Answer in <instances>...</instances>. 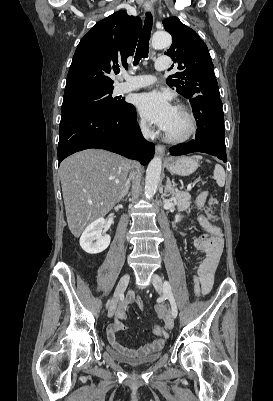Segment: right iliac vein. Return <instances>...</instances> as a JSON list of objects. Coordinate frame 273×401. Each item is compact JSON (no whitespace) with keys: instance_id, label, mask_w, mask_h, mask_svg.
<instances>
[{"instance_id":"63e3f726","label":"right iliac vein","mask_w":273,"mask_h":401,"mask_svg":"<svg viewBox=\"0 0 273 401\" xmlns=\"http://www.w3.org/2000/svg\"><path fill=\"white\" fill-rule=\"evenodd\" d=\"M129 280H130V276L128 273H126L124 276L121 277V279L116 287V290L114 292L109 309H108V317L109 318H111L115 314L118 300H119L120 296L123 294L124 290L126 289L128 283H129Z\"/></svg>"}]
</instances>
